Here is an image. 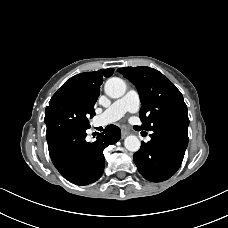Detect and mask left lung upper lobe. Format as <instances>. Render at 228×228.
<instances>
[{"label": "left lung upper lobe", "mask_w": 228, "mask_h": 228, "mask_svg": "<svg viewBox=\"0 0 228 228\" xmlns=\"http://www.w3.org/2000/svg\"><path fill=\"white\" fill-rule=\"evenodd\" d=\"M118 71L138 89L142 130L154 131L161 127H188L187 106L175 85L156 69L140 66Z\"/></svg>", "instance_id": "obj_1"}]
</instances>
